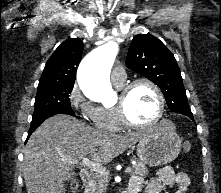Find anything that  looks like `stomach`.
Segmentation results:
<instances>
[{
	"mask_svg": "<svg viewBox=\"0 0 221 193\" xmlns=\"http://www.w3.org/2000/svg\"><path fill=\"white\" fill-rule=\"evenodd\" d=\"M181 150V139L167 120H162L137 146V156L149 166H160L172 162Z\"/></svg>",
	"mask_w": 221,
	"mask_h": 193,
	"instance_id": "0dacf381",
	"label": "stomach"
}]
</instances>
